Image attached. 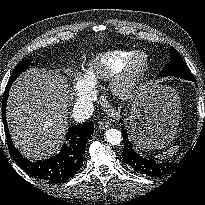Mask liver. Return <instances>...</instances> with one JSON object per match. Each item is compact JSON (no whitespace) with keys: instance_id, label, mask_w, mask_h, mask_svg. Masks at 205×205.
Here are the masks:
<instances>
[{"instance_id":"1","label":"liver","mask_w":205,"mask_h":205,"mask_svg":"<svg viewBox=\"0 0 205 205\" xmlns=\"http://www.w3.org/2000/svg\"><path fill=\"white\" fill-rule=\"evenodd\" d=\"M66 88L58 73L37 69H30L13 83L7 122L14 145L26 157L43 158L57 152L70 103Z\"/></svg>"}]
</instances>
